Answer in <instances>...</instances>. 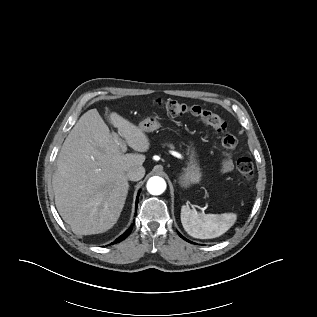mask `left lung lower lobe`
Returning <instances> with one entry per match:
<instances>
[{
	"instance_id": "obj_1",
	"label": "left lung lower lobe",
	"mask_w": 317,
	"mask_h": 317,
	"mask_svg": "<svg viewBox=\"0 0 317 317\" xmlns=\"http://www.w3.org/2000/svg\"><path fill=\"white\" fill-rule=\"evenodd\" d=\"M179 234V236L181 237V238H183L184 240H186V241H188L187 239H185L180 233H178ZM188 242H190V241H188ZM191 243V242H190Z\"/></svg>"
}]
</instances>
